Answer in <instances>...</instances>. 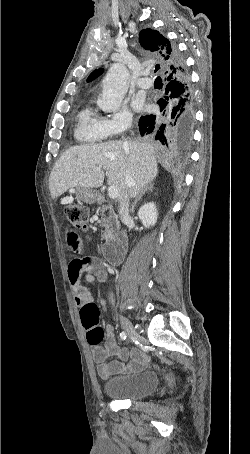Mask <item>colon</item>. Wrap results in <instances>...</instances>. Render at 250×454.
I'll list each match as a JSON object with an SVG mask.
<instances>
[{
    "mask_svg": "<svg viewBox=\"0 0 250 454\" xmlns=\"http://www.w3.org/2000/svg\"><path fill=\"white\" fill-rule=\"evenodd\" d=\"M69 221V231L78 234L88 227L89 211L85 206L70 203L65 208ZM80 241V240H79ZM82 326L86 330V338L91 345H98L104 338V330L99 325L100 310L94 303L85 304L80 308Z\"/></svg>",
    "mask_w": 250,
    "mask_h": 454,
    "instance_id": "colon-1",
    "label": "colon"
}]
</instances>
